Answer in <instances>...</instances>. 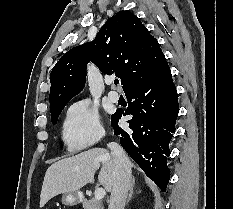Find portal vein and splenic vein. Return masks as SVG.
Listing matches in <instances>:
<instances>
[{
    "mask_svg": "<svg viewBox=\"0 0 233 209\" xmlns=\"http://www.w3.org/2000/svg\"><path fill=\"white\" fill-rule=\"evenodd\" d=\"M105 194H106L105 189L99 187L95 190V199L101 200L104 198Z\"/></svg>",
    "mask_w": 233,
    "mask_h": 209,
    "instance_id": "portal-vein-and-splenic-vein-1",
    "label": "portal vein and splenic vein"
}]
</instances>
